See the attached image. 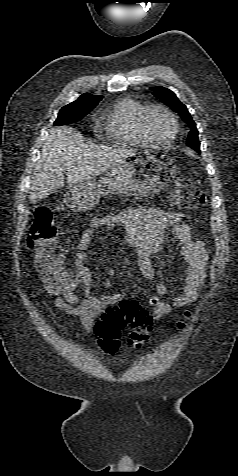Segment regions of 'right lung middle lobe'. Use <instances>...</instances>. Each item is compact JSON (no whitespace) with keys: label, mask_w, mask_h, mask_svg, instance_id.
<instances>
[{"label":"right lung middle lobe","mask_w":238,"mask_h":476,"mask_svg":"<svg viewBox=\"0 0 238 476\" xmlns=\"http://www.w3.org/2000/svg\"><path fill=\"white\" fill-rule=\"evenodd\" d=\"M95 106L68 104L61 108L54 124L65 125L74 123L86 116Z\"/></svg>","instance_id":"dd1d6c3e"}]
</instances>
